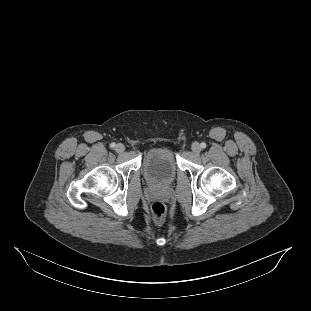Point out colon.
<instances>
[{
	"mask_svg": "<svg viewBox=\"0 0 311 311\" xmlns=\"http://www.w3.org/2000/svg\"><path fill=\"white\" fill-rule=\"evenodd\" d=\"M151 212L156 221H162L166 215V207L161 202H154L151 205Z\"/></svg>",
	"mask_w": 311,
	"mask_h": 311,
	"instance_id": "1",
	"label": "colon"
}]
</instances>
